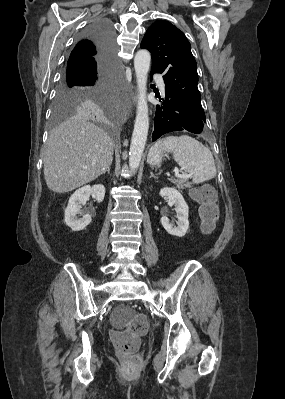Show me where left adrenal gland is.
Instances as JSON below:
<instances>
[{
	"instance_id": "left-adrenal-gland-1",
	"label": "left adrenal gland",
	"mask_w": 285,
	"mask_h": 399,
	"mask_svg": "<svg viewBox=\"0 0 285 399\" xmlns=\"http://www.w3.org/2000/svg\"><path fill=\"white\" fill-rule=\"evenodd\" d=\"M150 178H155L157 179V176L153 174V172H150Z\"/></svg>"
}]
</instances>
